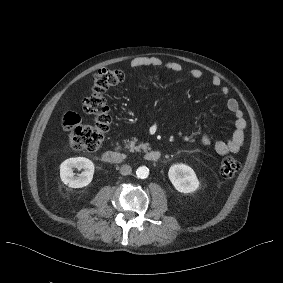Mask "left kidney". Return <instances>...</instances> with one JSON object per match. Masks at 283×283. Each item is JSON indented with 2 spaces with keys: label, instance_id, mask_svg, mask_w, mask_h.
I'll return each instance as SVG.
<instances>
[{
  "label": "left kidney",
  "instance_id": "5707ae66",
  "mask_svg": "<svg viewBox=\"0 0 283 283\" xmlns=\"http://www.w3.org/2000/svg\"><path fill=\"white\" fill-rule=\"evenodd\" d=\"M168 177L175 189L181 193L194 192L200 184L194 170L185 164L172 165Z\"/></svg>",
  "mask_w": 283,
  "mask_h": 283
}]
</instances>
